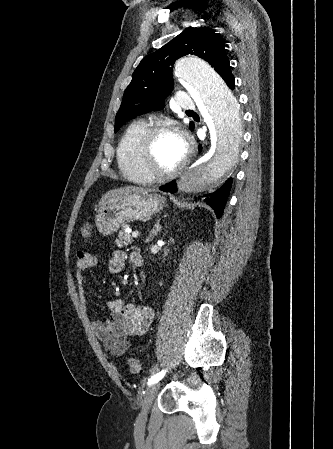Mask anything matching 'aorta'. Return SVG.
I'll return each instance as SVG.
<instances>
[{
    "label": "aorta",
    "mask_w": 333,
    "mask_h": 449,
    "mask_svg": "<svg viewBox=\"0 0 333 449\" xmlns=\"http://www.w3.org/2000/svg\"><path fill=\"white\" fill-rule=\"evenodd\" d=\"M176 78L203 108L212 123L213 148L201 156L177 182L178 190L205 193L218 189L234 166L241 142L239 106L227 84L197 56H185L174 65Z\"/></svg>",
    "instance_id": "aorta-1"
}]
</instances>
